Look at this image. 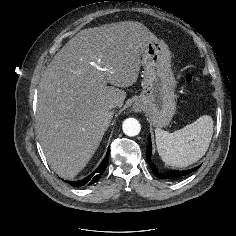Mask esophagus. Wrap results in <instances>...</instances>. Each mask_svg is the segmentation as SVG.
<instances>
[{
    "label": "esophagus",
    "instance_id": "esophagus-1",
    "mask_svg": "<svg viewBox=\"0 0 236 236\" xmlns=\"http://www.w3.org/2000/svg\"><path fill=\"white\" fill-rule=\"evenodd\" d=\"M134 110H135L136 112H138V111H140V107L134 106Z\"/></svg>",
    "mask_w": 236,
    "mask_h": 236
}]
</instances>
